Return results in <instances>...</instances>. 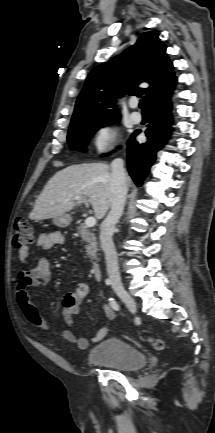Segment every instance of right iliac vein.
I'll use <instances>...</instances> for the list:
<instances>
[{
  "label": "right iliac vein",
  "mask_w": 215,
  "mask_h": 433,
  "mask_svg": "<svg viewBox=\"0 0 215 433\" xmlns=\"http://www.w3.org/2000/svg\"><path fill=\"white\" fill-rule=\"evenodd\" d=\"M118 296L125 303V305L130 309L132 313L136 312L137 310L136 302L129 293L125 291H120L118 292Z\"/></svg>",
  "instance_id": "63e3f726"
}]
</instances>
